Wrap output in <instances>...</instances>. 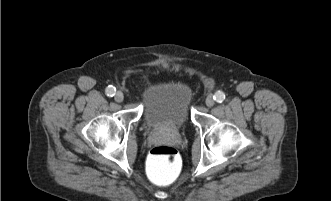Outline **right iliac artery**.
I'll return each instance as SVG.
<instances>
[{
  "instance_id": "right-iliac-artery-1",
  "label": "right iliac artery",
  "mask_w": 331,
  "mask_h": 201,
  "mask_svg": "<svg viewBox=\"0 0 331 201\" xmlns=\"http://www.w3.org/2000/svg\"><path fill=\"white\" fill-rule=\"evenodd\" d=\"M105 92H106L107 96L112 97V96L115 95L116 88L110 85V86H108V87L106 88V91H105Z\"/></svg>"
}]
</instances>
